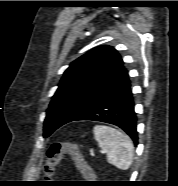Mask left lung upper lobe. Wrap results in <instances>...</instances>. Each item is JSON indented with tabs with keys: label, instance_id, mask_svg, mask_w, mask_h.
<instances>
[{
	"label": "left lung upper lobe",
	"instance_id": "obj_1",
	"mask_svg": "<svg viewBox=\"0 0 178 186\" xmlns=\"http://www.w3.org/2000/svg\"><path fill=\"white\" fill-rule=\"evenodd\" d=\"M129 82L114 48L100 46L73 61L64 72L47 109L44 137Z\"/></svg>",
	"mask_w": 178,
	"mask_h": 186
}]
</instances>
